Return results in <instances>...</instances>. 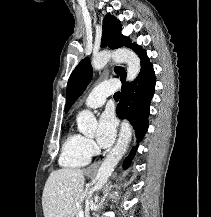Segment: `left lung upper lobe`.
Here are the masks:
<instances>
[{
  "label": "left lung upper lobe",
  "mask_w": 211,
  "mask_h": 217,
  "mask_svg": "<svg viewBox=\"0 0 211 217\" xmlns=\"http://www.w3.org/2000/svg\"><path fill=\"white\" fill-rule=\"evenodd\" d=\"M103 35L101 47L108 46L111 49H117L122 46H127L135 51L141 60V70L150 65L149 58L146 51L121 35V26L119 21L112 15L106 14L103 21ZM115 73L121 75L122 82L126 79V73L122 67H115ZM92 77V66L88 57L80 61L78 66L74 69L67 84V101L65 105V112H67L74 101L83 93Z\"/></svg>",
  "instance_id": "obj_1"
}]
</instances>
